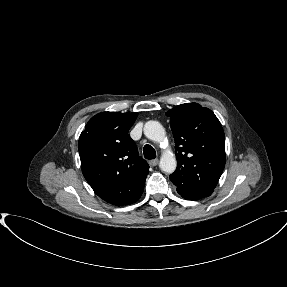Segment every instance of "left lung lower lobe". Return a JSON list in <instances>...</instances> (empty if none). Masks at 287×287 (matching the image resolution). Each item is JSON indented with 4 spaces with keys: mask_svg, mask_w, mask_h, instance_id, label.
Wrapping results in <instances>:
<instances>
[{
    "mask_svg": "<svg viewBox=\"0 0 287 287\" xmlns=\"http://www.w3.org/2000/svg\"><path fill=\"white\" fill-rule=\"evenodd\" d=\"M177 192L185 199L187 200H196V199H201L203 197L209 196L211 194H206V193H194L190 191H186L183 189L177 188Z\"/></svg>",
    "mask_w": 287,
    "mask_h": 287,
    "instance_id": "1",
    "label": "left lung lower lobe"
}]
</instances>
